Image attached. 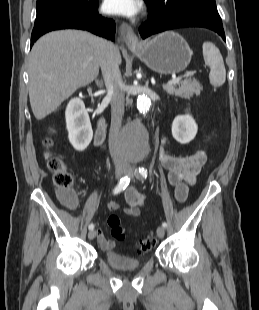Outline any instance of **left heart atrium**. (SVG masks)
I'll return each instance as SVG.
<instances>
[{
    "label": "left heart atrium",
    "mask_w": 259,
    "mask_h": 310,
    "mask_svg": "<svg viewBox=\"0 0 259 310\" xmlns=\"http://www.w3.org/2000/svg\"><path fill=\"white\" fill-rule=\"evenodd\" d=\"M103 7L110 14L132 17L139 12L140 3L138 0H105Z\"/></svg>",
    "instance_id": "left-heart-atrium-1"
}]
</instances>
